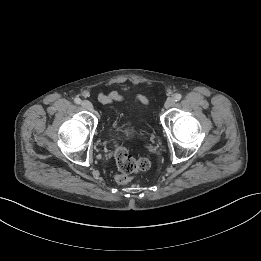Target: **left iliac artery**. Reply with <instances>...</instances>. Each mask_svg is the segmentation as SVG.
<instances>
[{
	"label": "left iliac artery",
	"instance_id": "left-iliac-artery-1",
	"mask_svg": "<svg viewBox=\"0 0 261 261\" xmlns=\"http://www.w3.org/2000/svg\"><path fill=\"white\" fill-rule=\"evenodd\" d=\"M174 98H175V101H180L182 96H181V94H176Z\"/></svg>",
	"mask_w": 261,
	"mask_h": 261
}]
</instances>
